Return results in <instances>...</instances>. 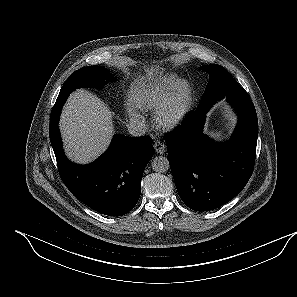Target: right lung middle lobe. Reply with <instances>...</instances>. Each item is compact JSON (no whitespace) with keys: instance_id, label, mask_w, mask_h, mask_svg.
Listing matches in <instances>:
<instances>
[{"instance_id":"obj_1","label":"right lung middle lobe","mask_w":297,"mask_h":297,"mask_svg":"<svg viewBox=\"0 0 297 297\" xmlns=\"http://www.w3.org/2000/svg\"><path fill=\"white\" fill-rule=\"evenodd\" d=\"M111 80L112 77L110 73L101 66L83 67L72 73L66 80L65 84L60 90L57 102H65L70 93L77 88L100 87L103 86L107 81Z\"/></svg>"}]
</instances>
